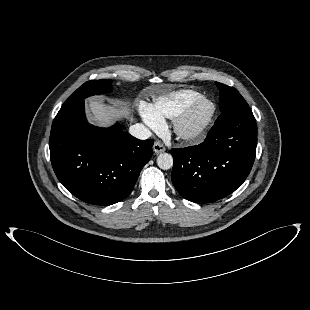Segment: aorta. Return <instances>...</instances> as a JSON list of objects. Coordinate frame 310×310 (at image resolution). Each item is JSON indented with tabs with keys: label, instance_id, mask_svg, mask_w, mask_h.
Returning <instances> with one entry per match:
<instances>
[{
	"label": "aorta",
	"instance_id": "762f6f07",
	"mask_svg": "<svg viewBox=\"0 0 310 310\" xmlns=\"http://www.w3.org/2000/svg\"><path fill=\"white\" fill-rule=\"evenodd\" d=\"M157 165L159 166L160 169H163V170L171 169L173 166L172 156L168 153H161L157 157Z\"/></svg>",
	"mask_w": 310,
	"mask_h": 310
}]
</instances>
